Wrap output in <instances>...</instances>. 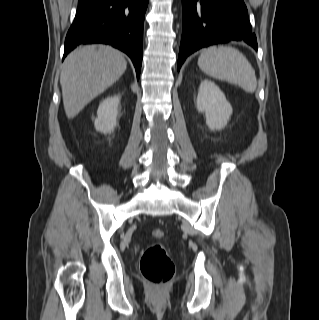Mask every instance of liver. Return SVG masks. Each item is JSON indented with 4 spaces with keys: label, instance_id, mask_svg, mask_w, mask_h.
Wrapping results in <instances>:
<instances>
[{
    "label": "liver",
    "instance_id": "6515ba94",
    "mask_svg": "<svg viewBox=\"0 0 319 320\" xmlns=\"http://www.w3.org/2000/svg\"><path fill=\"white\" fill-rule=\"evenodd\" d=\"M123 54L107 45H86L65 59L60 75L66 116L71 119L125 72Z\"/></svg>",
    "mask_w": 319,
    "mask_h": 320
}]
</instances>
